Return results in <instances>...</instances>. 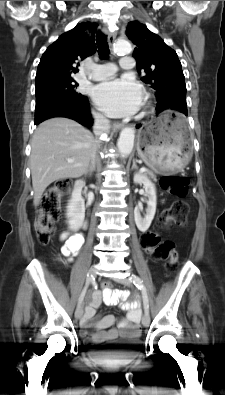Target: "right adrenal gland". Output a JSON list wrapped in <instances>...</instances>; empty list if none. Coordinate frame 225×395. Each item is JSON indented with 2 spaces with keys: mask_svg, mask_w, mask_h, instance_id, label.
<instances>
[{
  "mask_svg": "<svg viewBox=\"0 0 225 395\" xmlns=\"http://www.w3.org/2000/svg\"><path fill=\"white\" fill-rule=\"evenodd\" d=\"M93 171H95V164H92L87 171L85 172V175H90L93 173Z\"/></svg>",
  "mask_w": 225,
  "mask_h": 395,
  "instance_id": "obj_1",
  "label": "right adrenal gland"
}]
</instances>
